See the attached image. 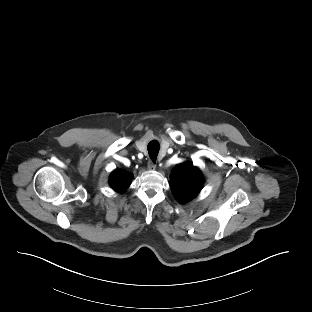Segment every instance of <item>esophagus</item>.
I'll use <instances>...</instances> for the list:
<instances>
[{"label":"esophagus","instance_id":"34e87169","mask_svg":"<svg viewBox=\"0 0 312 312\" xmlns=\"http://www.w3.org/2000/svg\"><path fill=\"white\" fill-rule=\"evenodd\" d=\"M147 167H148V170H155L156 169V163H154L152 160H150L148 162Z\"/></svg>","mask_w":312,"mask_h":312}]
</instances>
